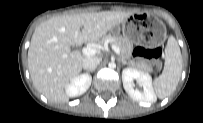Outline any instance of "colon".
Segmentation results:
<instances>
[{"instance_id":"5ec220e1","label":"colon","mask_w":203,"mask_h":123,"mask_svg":"<svg viewBox=\"0 0 203 123\" xmlns=\"http://www.w3.org/2000/svg\"><path fill=\"white\" fill-rule=\"evenodd\" d=\"M148 58L153 62L156 68L161 67L160 56H161V49L154 48L147 52Z\"/></svg>"}]
</instances>
